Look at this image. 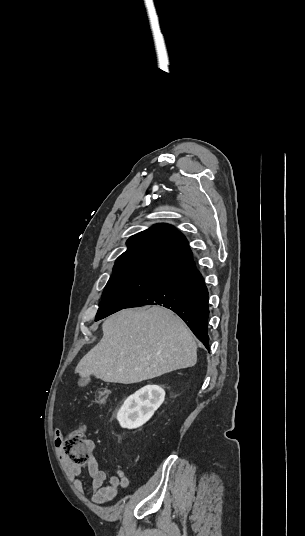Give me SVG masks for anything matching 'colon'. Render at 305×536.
<instances>
[{
	"instance_id": "1",
	"label": "colon",
	"mask_w": 305,
	"mask_h": 536,
	"mask_svg": "<svg viewBox=\"0 0 305 536\" xmlns=\"http://www.w3.org/2000/svg\"><path fill=\"white\" fill-rule=\"evenodd\" d=\"M110 392L107 389H101L95 396V403L103 406L108 402ZM84 427H79L71 435H64L62 442L66 446V451L69 452L68 458L70 462H84L86 454L90 447L86 436L83 435Z\"/></svg>"
}]
</instances>
